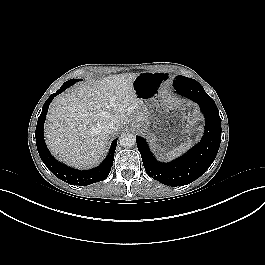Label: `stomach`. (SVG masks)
I'll return each instance as SVG.
<instances>
[{
  "instance_id": "1",
  "label": "stomach",
  "mask_w": 265,
  "mask_h": 265,
  "mask_svg": "<svg viewBox=\"0 0 265 265\" xmlns=\"http://www.w3.org/2000/svg\"><path fill=\"white\" fill-rule=\"evenodd\" d=\"M167 81L168 75L163 72L138 73L133 81L135 93L143 103L144 116L132 125L147 134L151 149L163 157L178 154L189 132L185 106L177 99L160 96Z\"/></svg>"
}]
</instances>
